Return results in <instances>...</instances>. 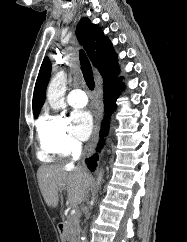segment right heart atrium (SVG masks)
<instances>
[{
  "label": "right heart atrium",
  "mask_w": 187,
  "mask_h": 242,
  "mask_svg": "<svg viewBox=\"0 0 187 242\" xmlns=\"http://www.w3.org/2000/svg\"><path fill=\"white\" fill-rule=\"evenodd\" d=\"M39 135L52 152L60 156L70 155L80 148L69 119L62 115H46L40 123Z\"/></svg>",
  "instance_id": "1"
}]
</instances>
